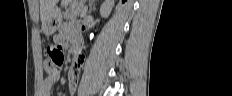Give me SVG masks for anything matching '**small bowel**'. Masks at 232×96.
Listing matches in <instances>:
<instances>
[{"label": "small bowel", "mask_w": 232, "mask_h": 96, "mask_svg": "<svg viewBox=\"0 0 232 96\" xmlns=\"http://www.w3.org/2000/svg\"><path fill=\"white\" fill-rule=\"evenodd\" d=\"M83 25H78L76 21L70 20L62 24L59 33L54 37V45L63 47L64 45L78 43H85V38H80V35H84ZM49 53V51H48ZM84 64V58L81 53L77 54L75 65L70 69L68 74V83L71 92H75L79 73L82 65ZM49 62H45V69L48 71ZM60 78V73H50L41 81L40 95L49 96L53 84Z\"/></svg>", "instance_id": "1"}]
</instances>
